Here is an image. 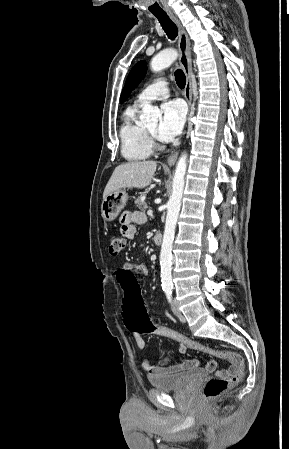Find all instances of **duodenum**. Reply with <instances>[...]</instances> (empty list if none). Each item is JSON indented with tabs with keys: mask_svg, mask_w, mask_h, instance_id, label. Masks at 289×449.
I'll list each match as a JSON object with an SVG mask.
<instances>
[{
	"mask_svg": "<svg viewBox=\"0 0 289 449\" xmlns=\"http://www.w3.org/2000/svg\"><path fill=\"white\" fill-rule=\"evenodd\" d=\"M154 243H155L157 246H159V247L162 245V243H163V237H162V234H161V233L157 232V233L155 234V236H154Z\"/></svg>",
	"mask_w": 289,
	"mask_h": 449,
	"instance_id": "410a0bca",
	"label": "duodenum"
}]
</instances>
